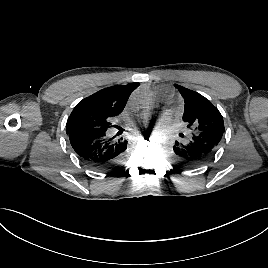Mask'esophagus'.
<instances>
[{"instance_id":"1","label":"esophagus","mask_w":268,"mask_h":268,"mask_svg":"<svg viewBox=\"0 0 268 268\" xmlns=\"http://www.w3.org/2000/svg\"><path fill=\"white\" fill-rule=\"evenodd\" d=\"M150 137V132L142 131L139 133V138Z\"/></svg>"}]
</instances>
